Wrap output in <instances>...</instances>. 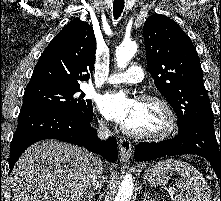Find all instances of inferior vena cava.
Masks as SVG:
<instances>
[{
  "instance_id": "inferior-vena-cava-1",
  "label": "inferior vena cava",
  "mask_w": 221,
  "mask_h": 201,
  "mask_svg": "<svg viewBox=\"0 0 221 201\" xmlns=\"http://www.w3.org/2000/svg\"><path fill=\"white\" fill-rule=\"evenodd\" d=\"M98 136L102 139H106L110 135V131L108 130L105 122L99 121V127L97 130ZM102 170L103 164L100 158L97 157L96 165L94 167L92 173V181L91 186L93 188L94 193L99 192L102 188Z\"/></svg>"
}]
</instances>
